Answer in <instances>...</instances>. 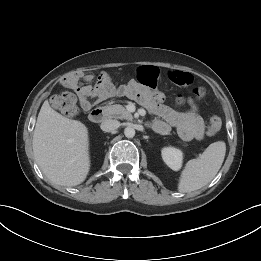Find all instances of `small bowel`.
I'll list each match as a JSON object with an SVG mask.
<instances>
[{"label": "small bowel", "mask_w": 261, "mask_h": 261, "mask_svg": "<svg viewBox=\"0 0 261 261\" xmlns=\"http://www.w3.org/2000/svg\"><path fill=\"white\" fill-rule=\"evenodd\" d=\"M161 71L155 66H142L137 70V78L125 85L115 86L107 74L101 75L96 85H92L93 75L78 73L63 80V85L73 89L83 110H89L93 104L116 97H128L136 100L157 116L152 127L160 133H167L174 127L184 141L201 140L205 136V124L198 107L192 103L188 110L179 111L162 103L163 94L153 91ZM169 79L181 86L191 85L193 76L188 72L169 71Z\"/></svg>", "instance_id": "1"}]
</instances>
